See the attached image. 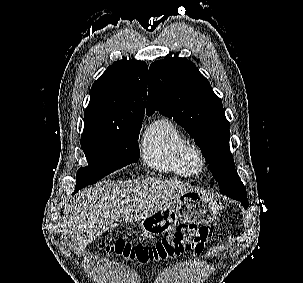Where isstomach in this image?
I'll return each mask as SVG.
<instances>
[{
    "label": "stomach",
    "mask_w": 303,
    "mask_h": 283,
    "mask_svg": "<svg viewBox=\"0 0 303 283\" xmlns=\"http://www.w3.org/2000/svg\"><path fill=\"white\" fill-rule=\"evenodd\" d=\"M219 212L215 198L199 191L176 197L151 216L141 221L143 235L155 238L164 235L179 222L205 224L212 222Z\"/></svg>",
    "instance_id": "obj_1"
}]
</instances>
